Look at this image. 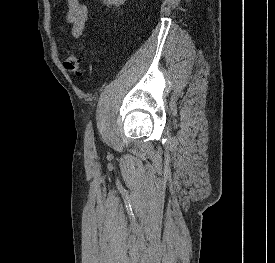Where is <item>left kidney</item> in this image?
Segmentation results:
<instances>
[{"instance_id":"5707ae66","label":"left kidney","mask_w":275,"mask_h":263,"mask_svg":"<svg viewBox=\"0 0 275 263\" xmlns=\"http://www.w3.org/2000/svg\"><path fill=\"white\" fill-rule=\"evenodd\" d=\"M106 3L111 4V5H121L125 2V0H104Z\"/></svg>"}]
</instances>
